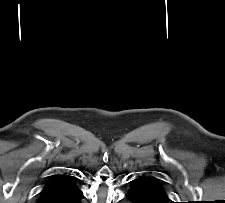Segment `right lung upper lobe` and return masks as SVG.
I'll return each instance as SVG.
<instances>
[{
    "label": "right lung upper lobe",
    "mask_w": 225,
    "mask_h": 203,
    "mask_svg": "<svg viewBox=\"0 0 225 203\" xmlns=\"http://www.w3.org/2000/svg\"><path fill=\"white\" fill-rule=\"evenodd\" d=\"M80 180L71 174L55 175L44 188V196L51 195L53 197L70 196L78 193ZM45 193V194H44Z\"/></svg>",
    "instance_id": "1"
}]
</instances>
